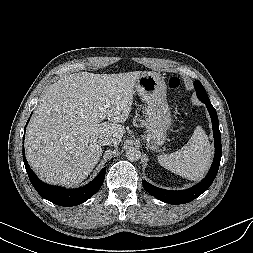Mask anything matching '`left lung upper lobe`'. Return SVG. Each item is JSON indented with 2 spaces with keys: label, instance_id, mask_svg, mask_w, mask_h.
<instances>
[{
  "label": "left lung upper lobe",
  "instance_id": "left-lung-upper-lobe-1",
  "mask_svg": "<svg viewBox=\"0 0 253 253\" xmlns=\"http://www.w3.org/2000/svg\"><path fill=\"white\" fill-rule=\"evenodd\" d=\"M194 87L196 89L197 97L200 101L202 102L210 101L205 91V88L202 86V84L198 80L195 81Z\"/></svg>",
  "mask_w": 253,
  "mask_h": 253
}]
</instances>
